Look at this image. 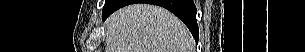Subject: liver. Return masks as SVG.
<instances>
[{"label":"liver","mask_w":305,"mask_h":52,"mask_svg":"<svg viewBox=\"0 0 305 52\" xmlns=\"http://www.w3.org/2000/svg\"><path fill=\"white\" fill-rule=\"evenodd\" d=\"M105 52H194L187 27L168 10L132 4L106 22Z\"/></svg>","instance_id":"obj_1"}]
</instances>
